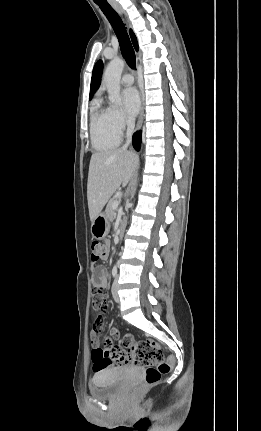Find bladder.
Instances as JSON below:
<instances>
[{"label":"bladder","mask_w":261,"mask_h":431,"mask_svg":"<svg viewBox=\"0 0 261 431\" xmlns=\"http://www.w3.org/2000/svg\"><path fill=\"white\" fill-rule=\"evenodd\" d=\"M124 370L106 369L97 372L89 383V393L97 399L116 397L123 388Z\"/></svg>","instance_id":"31cf9c89"}]
</instances>
